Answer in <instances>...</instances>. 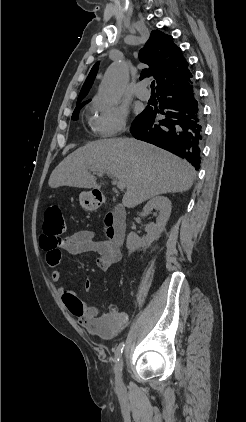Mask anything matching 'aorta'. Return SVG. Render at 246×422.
Instances as JSON below:
<instances>
[{"mask_svg": "<svg viewBox=\"0 0 246 422\" xmlns=\"http://www.w3.org/2000/svg\"><path fill=\"white\" fill-rule=\"evenodd\" d=\"M128 78V69L124 63L112 64L99 88L101 100L107 104H117L124 93Z\"/></svg>", "mask_w": 246, "mask_h": 422, "instance_id": "762f6f07", "label": "aorta"}]
</instances>
